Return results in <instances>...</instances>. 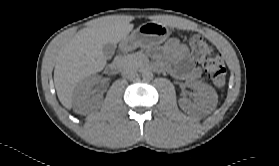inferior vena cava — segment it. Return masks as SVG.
<instances>
[{
	"label": "inferior vena cava",
	"mask_w": 279,
	"mask_h": 166,
	"mask_svg": "<svg viewBox=\"0 0 279 166\" xmlns=\"http://www.w3.org/2000/svg\"><path fill=\"white\" fill-rule=\"evenodd\" d=\"M138 73L134 69H129L123 72V77L128 78V79H133L137 77Z\"/></svg>",
	"instance_id": "inferior-vena-cava-1"
}]
</instances>
